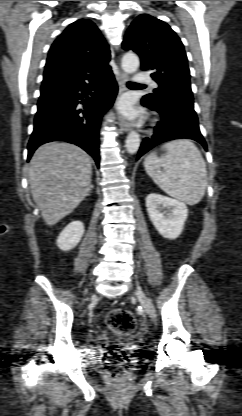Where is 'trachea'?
<instances>
[{
    "label": "trachea",
    "mask_w": 242,
    "mask_h": 416,
    "mask_svg": "<svg viewBox=\"0 0 242 416\" xmlns=\"http://www.w3.org/2000/svg\"><path fill=\"white\" fill-rule=\"evenodd\" d=\"M127 86L128 87H138V86H146V85H143V84H138V83H134V82H127Z\"/></svg>",
    "instance_id": "trachea-1"
}]
</instances>
